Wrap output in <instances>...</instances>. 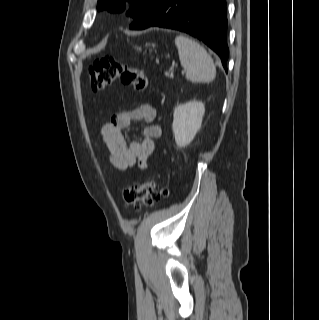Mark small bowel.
<instances>
[{"label":"small bowel","instance_id":"c3829d8e","mask_svg":"<svg viewBox=\"0 0 319 320\" xmlns=\"http://www.w3.org/2000/svg\"><path fill=\"white\" fill-rule=\"evenodd\" d=\"M156 110L142 104L133 109H120L100 128V137L106 145L109 155L108 162L116 170H126L135 164L141 168L146 166L148 158L155 151L161 137V128L154 123ZM132 121H144L142 140L127 143L122 130Z\"/></svg>","mask_w":319,"mask_h":320}]
</instances>
